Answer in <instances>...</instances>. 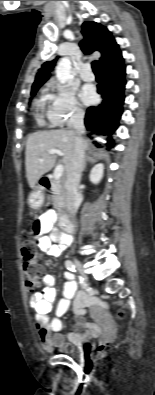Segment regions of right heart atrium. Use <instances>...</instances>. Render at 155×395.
I'll return each mask as SVG.
<instances>
[{
    "mask_svg": "<svg viewBox=\"0 0 155 395\" xmlns=\"http://www.w3.org/2000/svg\"><path fill=\"white\" fill-rule=\"evenodd\" d=\"M47 100L50 103L47 117L54 127L75 124L83 118V110L76 98L75 92L67 85L53 83L50 85Z\"/></svg>",
    "mask_w": 155,
    "mask_h": 395,
    "instance_id": "obj_1",
    "label": "right heart atrium"
}]
</instances>
